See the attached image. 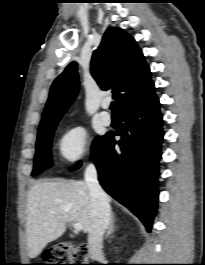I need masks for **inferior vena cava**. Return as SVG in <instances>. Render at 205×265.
<instances>
[{
  "label": "inferior vena cava",
  "mask_w": 205,
  "mask_h": 265,
  "mask_svg": "<svg viewBox=\"0 0 205 265\" xmlns=\"http://www.w3.org/2000/svg\"><path fill=\"white\" fill-rule=\"evenodd\" d=\"M85 181L90 191L92 205V225L88 236V247L92 259L102 255L103 235L110 224L111 208L109 198L102 190L98 179L97 170L89 164L85 170Z\"/></svg>",
  "instance_id": "1"
}]
</instances>
